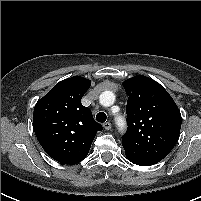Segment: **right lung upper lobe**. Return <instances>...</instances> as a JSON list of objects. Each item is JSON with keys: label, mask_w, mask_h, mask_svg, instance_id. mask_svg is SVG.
<instances>
[{"label": "right lung upper lobe", "mask_w": 201, "mask_h": 201, "mask_svg": "<svg viewBox=\"0 0 201 201\" xmlns=\"http://www.w3.org/2000/svg\"><path fill=\"white\" fill-rule=\"evenodd\" d=\"M91 85L80 76L57 83L35 105L33 128L44 151L54 160L72 164L82 161L102 130L81 98Z\"/></svg>", "instance_id": "right-lung-upper-lobe-1"}]
</instances>
